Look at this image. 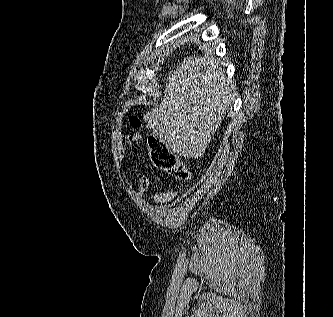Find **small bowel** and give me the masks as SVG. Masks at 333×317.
Segmentation results:
<instances>
[{"mask_svg": "<svg viewBox=\"0 0 333 317\" xmlns=\"http://www.w3.org/2000/svg\"><path fill=\"white\" fill-rule=\"evenodd\" d=\"M141 137L142 136L140 134H132V135H127V136L123 137L122 142H121V152H120L121 159H124V157H125L126 148H131L135 142H137L141 139ZM149 185H150V182H149L148 177L145 174H140L138 186L136 189L137 195L138 196L144 195L148 191ZM176 195H177L176 191L166 190V191L158 192L155 195V198L158 201L166 203V202L172 201L176 197Z\"/></svg>", "mask_w": 333, "mask_h": 317, "instance_id": "small-bowel-1", "label": "small bowel"}]
</instances>
